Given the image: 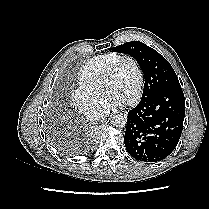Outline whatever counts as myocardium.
<instances>
[{
    "label": "myocardium",
    "instance_id": "myocardium-1",
    "mask_svg": "<svg viewBox=\"0 0 209 209\" xmlns=\"http://www.w3.org/2000/svg\"><path fill=\"white\" fill-rule=\"evenodd\" d=\"M122 60L129 61L133 65L135 72H136V83H135L134 89H133L131 95L129 96V98L127 100H125V102L127 104H129V103L134 102L138 98L141 88H142V84H143V73L140 68V65L138 64L137 60L134 57H132L131 55L119 54L114 60H112L110 62V64L106 68L104 76H103L102 92L105 94L107 86L114 74L115 69H116V66Z\"/></svg>",
    "mask_w": 209,
    "mask_h": 209
}]
</instances>
